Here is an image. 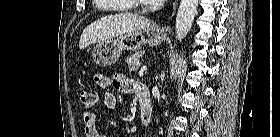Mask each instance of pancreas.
<instances>
[{"mask_svg":"<svg viewBox=\"0 0 280 137\" xmlns=\"http://www.w3.org/2000/svg\"><path fill=\"white\" fill-rule=\"evenodd\" d=\"M142 56L141 52L135 53L125 59V63L128 65L129 71H135L140 66L139 58Z\"/></svg>","mask_w":280,"mask_h":137,"instance_id":"cf45deb5","label":"pancreas"}]
</instances>
